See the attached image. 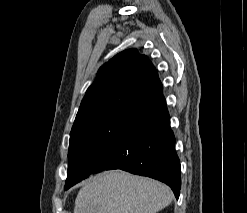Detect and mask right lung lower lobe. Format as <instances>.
I'll return each mask as SVG.
<instances>
[{
  "label": "right lung lower lobe",
  "instance_id": "1",
  "mask_svg": "<svg viewBox=\"0 0 247 213\" xmlns=\"http://www.w3.org/2000/svg\"><path fill=\"white\" fill-rule=\"evenodd\" d=\"M162 91L131 103L126 121L100 154L94 173L122 169L148 176L170 186L178 198L181 166Z\"/></svg>",
  "mask_w": 247,
  "mask_h": 213
}]
</instances>
